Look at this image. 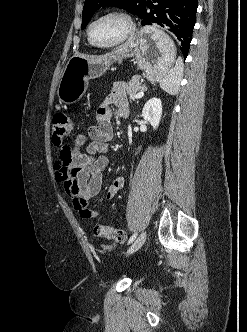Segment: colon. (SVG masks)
I'll list each match as a JSON object with an SVG mask.
<instances>
[{
  "instance_id": "colon-1",
  "label": "colon",
  "mask_w": 247,
  "mask_h": 332,
  "mask_svg": "<svg viewBox=\"0 0 247 332\" xmlns=\"http://www.w3.org/2000/svg\"><path fill=\"white\" fill-rule=\"evenodd\" d=\"M73 129V122L70 116L65 113H57L53 118L52 142L57 147H68L64 143L70 138ZM94 233L100 238L116 243H122L126 239V233L121 229H115L106 225H97Z\"/></svg>"
}]
</instances>
